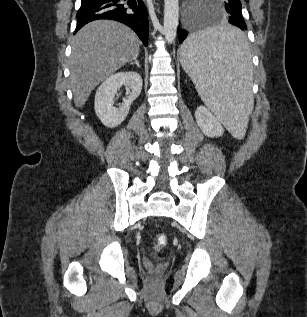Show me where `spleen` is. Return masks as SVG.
Segmentation results:
<instances>
[{"label": "spleen", "mask_w": 307, "mask_h": 317, "mask_svg": "<svg viewBox=\"0 0 307 317\" xmlns=\"http://www.w3.org/2000/svg\"><path fill=\"white\" fill-rule=\"evenodd\" d=\"M180 62L218 120L241 138L253 109V72L245 29L203 26L181 47Z\"/></svg>", "instance_id": "3e777b00"}]
</instances>
